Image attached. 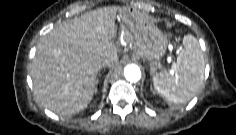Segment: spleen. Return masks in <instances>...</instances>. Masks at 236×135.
<instances>
[{"instance_id": "spleen-1", "label": "spleen", "mask_w": 236, "mask_h": 135, "mask_svg": "<svg viewBox=\"0 0 236 135\" xmlns=\"http://www.w3.org/2000/svg\"><path fill=\"white\" fill-rule=\"evenodd\" d=\"M183 46L177 57L175 74L162 71L152 79L158 94L175 104L191 100L204 80L205 60L198 40L190 34L185 35Z\"/></svg>"}]
</instances>
